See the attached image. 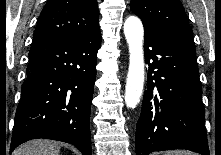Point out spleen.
Here are the masks:
<instances>
[{
	"mask_svg": "<svg viewBox=\"0 0 221 155\" xmlns=\"http://www.w3.org/2000/svg\"><path fill=\"white\" fill-rule=\"evenodd\" d=\"M165 155H193V153L184 150H178V151L167 152L165 153Z\"/></svg>",
	"mask_w": 221,
	"mask_h": 155,
	"instance_id": "3e777b00",
	"label": "spleen"
}]
</instances>
